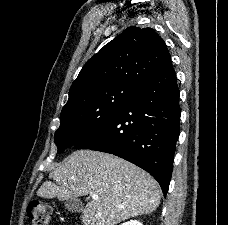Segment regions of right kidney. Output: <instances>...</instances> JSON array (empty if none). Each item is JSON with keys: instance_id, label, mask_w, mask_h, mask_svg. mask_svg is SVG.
<instances>
[{"instance_id": "obj_1", "label": "right kidney", "mask_w": 228, "mask_h": 225, "mask_svg": "<svg viewBox=\"0 0 228 225\" xmlns=\"http://www.w3.org/2000/svg\"><path fill=\"white\" fill-rule=\"evenodd\" d=\"M122 225H142L140 221H127V223H122Z\"/></svg>"}]
</instances>
